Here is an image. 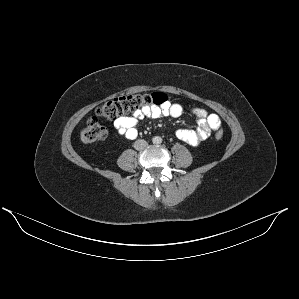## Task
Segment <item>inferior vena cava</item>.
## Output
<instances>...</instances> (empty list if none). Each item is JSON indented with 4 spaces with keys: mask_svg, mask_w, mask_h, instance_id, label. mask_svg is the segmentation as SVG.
<instances>
[{
    "mask_svg": "<svg viewBox=\"0 0 299 299\" xmlns=\"http://www.w3.org/2000/svg\"><path fill=\"white\" fill-rule=\"evenodd\" d=\"M147 146H148L147 141L142 140V139L137 140V141H135V143H134V148H135L136 150H143V149H145Z\"/></svg>",
    "mask_w": 299,
    "mask_h": 299,
    "instance_id": "inferior-vena-cava-1",
    "label": "inferior vena cava"
}]
</instances>
